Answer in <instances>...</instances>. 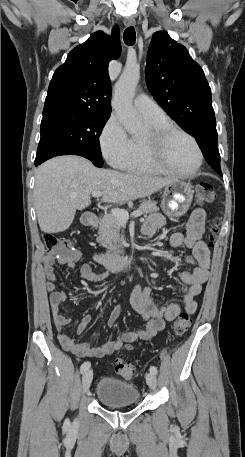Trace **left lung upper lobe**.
<instances>
[{
  "instance_id": "1",
  "label": "left lung upper lobe",
  "mask_w": 245,
  "mask_h": 457,
  "mask_svg": "<svg viewBox=\"0 0 245 457\" xmlns=\"http://www.w3.org/2000/svg\"><path fill=\"white\" fill-rule=\"evenodd\" d=\"M146 82L157 103L187 133L196 137L216 127L211 89L202 68L165 31L153 35Z\"/></svg>"
}]
</instances>
